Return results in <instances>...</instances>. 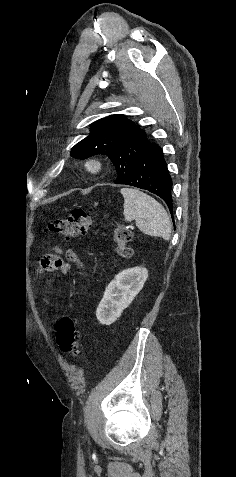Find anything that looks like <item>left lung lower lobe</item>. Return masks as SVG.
Returning <instances> with one entry per match:
<instances>
[{
	"instance_id": "0a47b994",
	"label": "left lung lower lobe",
	"mask_w": 236,
	"mask_h": 477,
	"mask_svg": "<svg viewBox=\"0 0 236 477\" xmlns=\"http://www.w3.org/2000/svg\"><path fill=\"white\" fill-rule=\"evenodd\" d=\"M118 184L147 190L162 198L168 206L172 219V180L168 173L162 149L151 144L132 163L127 177Z\"/></svg>"
}]
</instances>
